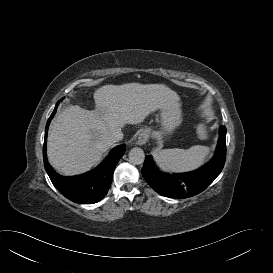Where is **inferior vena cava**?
<instances>
[{"label":"inferior vena cava","instance_id":"602c4592","mask_svg":"<svg viewBox=\"0 0 273 273\" xmlns=\"http://www.w3.org/2000/svg\"><path fill=\"white\" fill-rule=\"evenodd\" d=\"M108 138L112 143H115V142L122 140L123 133H122L121 129H116L109 134Z\"/></svg>","mask_w":273,"mask_h":273}]
</instances>
